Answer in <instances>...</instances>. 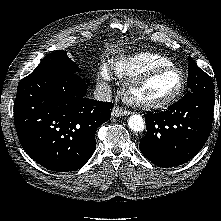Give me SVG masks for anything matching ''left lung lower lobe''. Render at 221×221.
Segmentation results:
<instances>
[{"label": "left lung lower lobe", "mask_w": 221, "mask_h": 221, "mask_svg": "<svg viewBox=\"0 0 221 221\" xmlns=\"http://www.w3.org/2000/svg\"><path fill=\"white\" fill-rule=\"evenodd\" d=\"M215 99L203 93H191L166 111L145 114L146 135L140 150L160 167L179 166L193 158L210 134Z\"/></svg>", "instance_id": "obj_1"}]
</instances>
